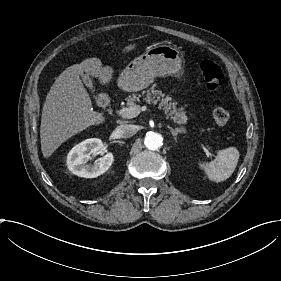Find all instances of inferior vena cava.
Returning <instances> with one entry per match:
<instances>
[{
	"instance_id": "1",
	"label": "inferior vena cava",
	"mask_w": 281,
	"mask_h": 281,
	"mask_svg": "<svg viewBox=\"0 0 281 281\" xmlns=\"http://www.w3.org/2000/svg\"><path fill=\"white\" fill-rule=\"evenodd\" d=\"M137 132V127L133 124L121 125L117 128L116 133L123 138L131 137Z\"/></svg>"
}]
</instances>
